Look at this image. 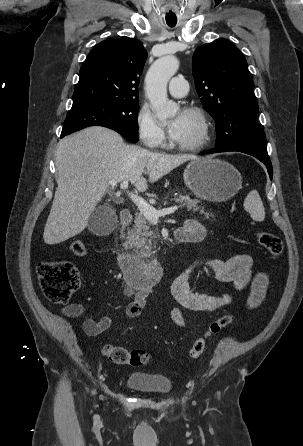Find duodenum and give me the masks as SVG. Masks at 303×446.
<instances>
[{
  "label": "duodenum",
  "instance_id": "1",
  "mask_svg": "<svg viewBox=\"0 0 303 446\" xmlns=\"http://www.w3.org/2000/svg\"><path fill=\"white\" fill-rule=\"evenodd\" d=\"M131 211L125 209L120 214V222L126 226L132 221ZM175 239L186 242V237L179 231ZM118 264L125 274V280L130 288L139 289L144 286L153 285L164 272V264L159 258L144 261L128 254H120Z\"/></svg>",
  "mask_w": 303,
  "mask_h": 446
}]
</instances>
